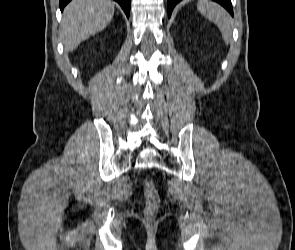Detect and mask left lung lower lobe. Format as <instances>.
I'll use <instances>...</instances> for the list:
<instances>
[{
	"instance_id": "1",
	"label": "left lung lower lobe",
	"mask_w": 295,
	"mask_h": 250,
	"mask_svg": "<svg viewBox=\"0 0 295 250\" xmlns=\"http://www.w3.org/2000/svg\"><path fill=\"white\" fill-rule=\"evenodd\" d=\"M181 0H167V5H168V17L171 16L172 10L174 6L180 2ZM219 4H221L224 8H226L229 13L233 16V9L231 5V0H213Z\"/></svg>"
}]
</instances>
